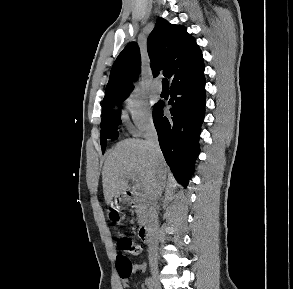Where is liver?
I'll return each mask as SVG.
<instances>
[{"instance_id":"obj_1","label":"liver","mask_w":293,"mask_h":289,"mask_svg":"<svg viewBox=\"0 0 293 289\" xmlns=\"http://www.w3.org/2000/svg\"><path fill=\"white\" fill-rule=\"evenodd\" d=\"M158 171L166 177L169 169L162 156H155L145 140L126 139L107 155L102 170L103 193L107 203L127 191L129 180L137 177L148 193Z\"/></svg>"}]
</instances>
